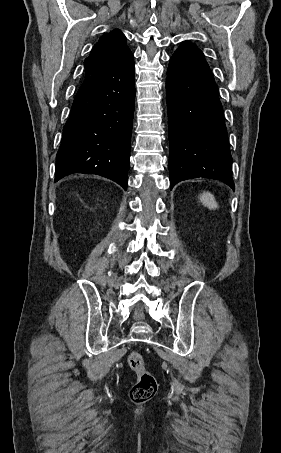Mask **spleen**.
Segmentation results:
<instances>
[{
	"mask_svg": "<svg viewBox=\"0 0 281 453\" xmlns=\"http://www.w3.org/2000/svg\"><path fill=\"white\" fill-rule=\"evenodd\" d=\"M201 202H203L205 206H208V208H211V210H215V208H218V204L213 194H210V192H204V194H202Z\"/></svg>",
	"mask_w": 281,
	"mask_h": 453,
	"instance_id": "3e777b00",
	"label": "spleen"
}]
</instances>
